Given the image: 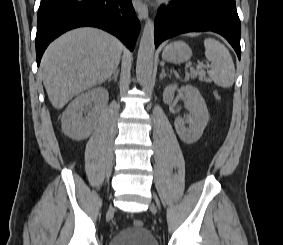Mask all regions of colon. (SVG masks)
<instances>
[{
  "label": "colon",
  "mask_w": 283,
  "mask_h": 245,
  "mask_svg": "<svg viewBox=\"0 0 283 245\" xmlns=\"http://www.w3.org/2000/svg\"><path fill=\"white\" fill-rule=\"evenodd\" d=\"M133 225H134L135 227H142V226H143V221L140 220V219H135V220L133 221Z\"/></svg>",
  "instance_id": "colon-1"
}]
</instances>
